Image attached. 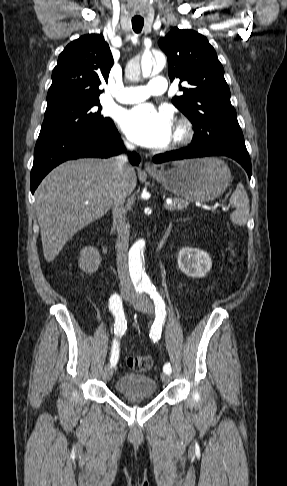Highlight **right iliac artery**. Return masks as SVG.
<instances>
[{"label": "right iliac artery", "mask_w": 287, "mask_h": 486, "mask_svg": "<svg viewBox=\"0 0 287 486\" xmlns=\"http://www.w3.org/2000/svg\"><path fill=\"white\" fill-rule=\"evenodd\" d=\"M143 288H138L137 292L142 293ZM109 308L115 317V329L114 333L116 338L113 341L112 352L110 356L111 367H114L119 358V343L117 338L121 337L127 328V323L124 315L122 300L118 294H113L109 299Z\"/></svg>", "instance_id": "82829eb1"}]
</instances>
